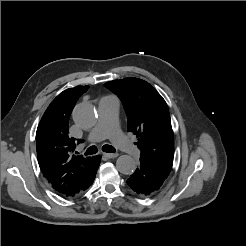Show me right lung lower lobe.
<instances>
[{"label":"right lung lower lobe","instance_id":"1","mask_svg":"<svg viewBox=\"0 0 246 246\" xmlns=\"http://www.w3.org/2000/svg\"><path fill=\"white\" fill-rule=\"evenodd\" d=\"M100 160H101V156L100 155H97V156L94 157V161H93V167L94 168H93L91 174L85 180V182L80 186V188L78 189V192H77V194L75 196L82 194L86 189L89 188V186L92 185V183H93V181L95 179V176H96L97 169H98L99 164H100Z\"/></svg>","mask_w":246,"mask_h":246}]
</instances>
